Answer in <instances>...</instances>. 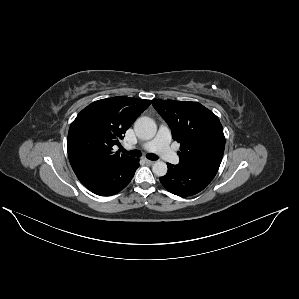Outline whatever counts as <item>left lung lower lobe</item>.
Returning a JSON list of instances; mask_svg holds the SVG:
<instances>
[{"label":"left lung lower lobe","instance_id":"0a47b994","mask_svg":"<svg viewBox=\"0 0 299 299\" xmlns=\"http://www.w3.org/2000/svg\"><path fill=\"white\" fill-rule=\"evenodd\" d=\"M168 172L160 177L162 185L178 196H192L202 191L215 177L219 165L210 163L167 164Z\"/></svg>","mask_w":299,"mask_h":299}]
</instances>
